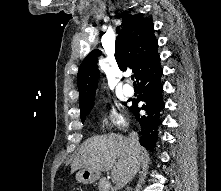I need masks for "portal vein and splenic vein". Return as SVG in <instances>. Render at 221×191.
Wrapping results in <instances>:
<instances>
[{"label": "portal vein and splenic vein", "mask_w": 221, "mask_h": 191, "mask_svg": "<svg viewBox=\"0 0 221 191\" xmlns=\"http://www.w3.org/2000/svg\"><path fill=\"white\" fill-rule=\"evenodd\" d=\"M106 186H107V187H110V183H108Z\"/></svg>", "instance_id": "18ae733b"}]
</instances>
